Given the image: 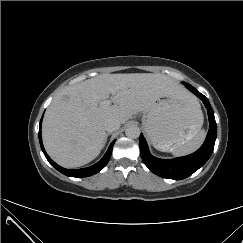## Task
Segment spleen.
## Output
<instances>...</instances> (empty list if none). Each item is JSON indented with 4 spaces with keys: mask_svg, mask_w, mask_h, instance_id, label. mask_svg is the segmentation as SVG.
Segmentation results:
<instances>
[{
    "mask_svg": "<svg viewBox=\"0 0 243 243\" xmlns=\"http://www.w3.org/2000/svg\"><path fill=\"white\" fill-rule=\"evenodd\" d=\"M206 133L204 130H199L194 137L182 145L173 147L170 152L175 156H184L196 151L204 142Z\"/></svg>",
    "mask_w": 243,
    "mask_h": 243,
    "instance_id": "3e777b00",
    "label": "spleen"
}]
</instances>
